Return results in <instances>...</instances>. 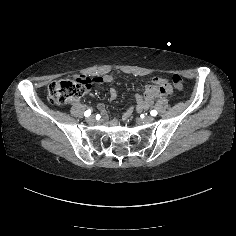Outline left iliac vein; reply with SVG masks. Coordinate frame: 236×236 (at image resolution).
<instances>
[{"instance_id":"1","label":"left iliac vein","mask_w":236,"mask_h":236,"mask_svg":"<svg viewBox=\"0 0 236 236\" xmlns=\"http://www.w3.org/2000/svg\"><path fill=\"white\" fill-rule=\"evenodd\" d=\"M143 121H144L145 123H152V122L154 121V117H153V116H145V117L143 118Z\"/></svg>"}]
</instances>
